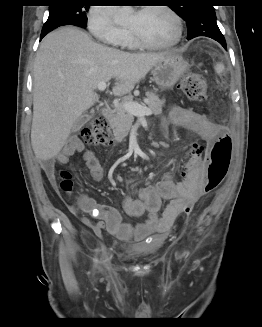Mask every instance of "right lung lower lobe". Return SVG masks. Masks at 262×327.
Wrapping results in <instances>:
<instances>
[{
	"label": "right lung lower lobe",
	"mask_w": 262,
	"mask_h": 327,
	"mask_svg": "<svg viewBox=\"0 0 262 327\" xmlns=\"http://www.w3.org/2000/svg\"><path fill=\"white\" fill-rule=\"evenodd\" d=\"M72 25H75V26H79V27H83L84 28V26H81V25H77V24H72ZM55 28H57V27H55ZM55 28L42 31L40 39H42L46 34H48L50 31L54 30Z\"/></svg>",
	"instance_id": "right-lung-lower-lobe-1"
}]
</instances>
